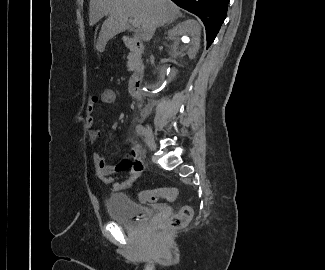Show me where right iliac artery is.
I'll return each instance as SVG.
<instances>
[{
    "label": "right iliac artery",
    "mask_w": 325,
    "mask_h": 270,
    "mask_svg": "<svg viewBox=\"0 0 325 270\" xmlns=\"http://www.w3.org/2000/svg\"><path fill=\"white\" fill-rule=\"evenodd\" d=\"M136 131L140 135H144L145 128L142 125H137L136 126Z\"/></svg>",
    "instance_id": "1"
}]
</instances>
